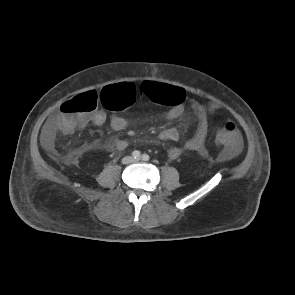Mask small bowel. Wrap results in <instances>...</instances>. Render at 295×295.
Wrapping results in <instances>:
<instances>
[{
	"instance_id": "1",
	"label": "small bowel",
	"mask_w": 295,
	"mask_h": 295,
	"mask_svg": "<svg viewBox=\"0 0 295 295\" xmlns=\"http://www.w3.org/2000/svg\"><path fill=\"white\" fill-rule=\"evenodd\" d=\"M174 88H176L179 91V96L178 100L174 104H172V107L168 110V112L165 115V119L168 121L181 118L185 112V92L181 88ZM216 109L217 107L213 104L206 105L201 102L193 103V110L197 120V129L193 137L186 141L184 146L186 150L196 152L202 156L207 155L205 140L208 132L210 116L214 113ZM105 121L106 115L103 111H94L80 125V127H84L87 124L100 126L104 124ZM128 125V121L122 116L114 115L110 119V126L115 131L125 130L128 127ZM57 130V116H55L49 119V121L44 126L41 134V143L44 146V148L48 151H51L54 147L55 135ZM159 137L162 140L178 141L180 138V134L178 130L175 128H167L159 133ZM111 143L119 151L126 149L128 146V142L125 139L112 140ZM240 149L241 140L239 136L237 144L234 147L228 148V154L230 156H234L240 151ZM182 152L183 150L181 148L172 147L168 150L167 155L171 160H175L181 156Z\"/></svg>"
}]
</instances>
